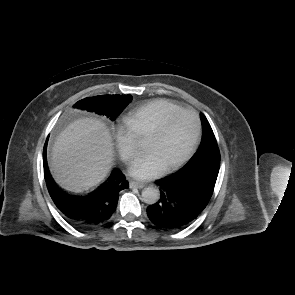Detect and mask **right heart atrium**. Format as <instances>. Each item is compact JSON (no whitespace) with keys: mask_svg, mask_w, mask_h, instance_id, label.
I'll list each match as a JSON object with an SVG mask.
<instances>
[{"mask_svg":"<svg viewBox=\"0 0 295 295\" xmlns=\"http://www.w3.org/2000/svg\"><path fill=\"white\" fill-rule=\"evenodd\" d=\"M115 141L119 155L125 162H130L137 153L136 138L125 125L115 129Z\"/></svg>","mask_w":295,"mask_h":295,"instance_id":"right-heart-atrium-1","label":"right heart atrium"}]
</instances>
